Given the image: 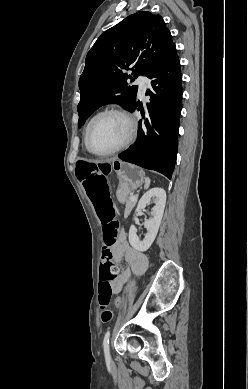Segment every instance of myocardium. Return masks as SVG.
Wrapping results in <instances>:
<instances>
[{
  "mask_svg": "<svg viewBox=\"0 0 248 389\" xmlns=\"http://www.w3.org/2000/svg\"><path fill=\"white\" fill-rule=\"evenodd\" d=\"M105 115H116V116L121 117L127 125V134H126L125 139L119 145L114 147L113 149L106 151V152H96L89 147V142H88L89 132H90L92 125L99 118H101ZM136 133H137V126H136V122L133 119V117L124 109H121L119 107H110V108H106V109L100 111L99 113H97L88 122L86 129H85V133H84V143H85L86 149L91 154L99 156V157H107V156H111L113 154H116V153L120 152L121 150H123L124 148H126L127 146H129L133 142V140L136 136Z\"/></svg>",
  "mask_w": 248,
  "mask_h": 389,
  "instance_id": "myocardium-1",
  "label": "myocardium"
}]
</instances>
